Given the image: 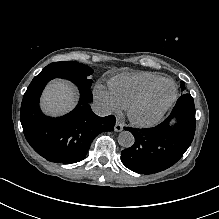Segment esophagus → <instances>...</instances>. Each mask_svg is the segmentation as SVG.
<instances>
[{
  "label": "esophagus",
  "mask_w": 219,
  "mask_h": 219,
  "mask_svg": "<svg viewBox=\"0 0 219 219\" xmlns=\"http://www.w3.org/2000/svg\"><path fill=\"white\" fill-rule=\"evenodd\" d=\"M123 129H124V124L120 120H117L114 130L116 132H121Z\"/></svg>",
  "instance_id": "34e87169"
}]
</instances>
